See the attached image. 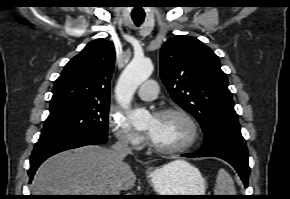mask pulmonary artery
I'll use <instances>...</instances> for the list:
<instances>
[{
	"mask_svg": "<svg viewBox=\"0 0 290 199\" xmlns=\"http://www.w3.org/2000/svg\"><path fill=\"white\" fill-rule=\"evenodd\" d=\"M158 92V85L156 81L149 80L144 82L137 90V95L144 101H152L156 98Z\"/></svg>",
	"mask_w": 290,
	"mask_h": 199,
	"instance_id": "1",
	"label": "pulmonary artery"
}]
</instances>
